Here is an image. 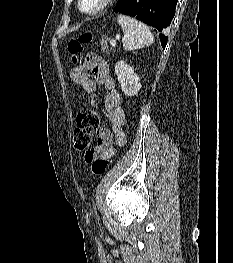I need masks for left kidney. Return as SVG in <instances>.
Here are the masks:
<instances>
[{"instance_id": "1", "label": "left kidney", "mask_w": 233, "mask_h": 263, "mask_svg": "<svg viewBox=\"0 0 233 263\" xmlns=\"http://www.w3.org/2000/svg\"><path fill=\"white\" fill-rule=\"evenodd\" d=\"M115 74L121 85V90L126 96H134L141 88L139 76L134 73L133 67L125 61H118L115 65Z\"/></svg>"}]
</instances>
